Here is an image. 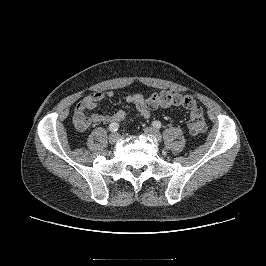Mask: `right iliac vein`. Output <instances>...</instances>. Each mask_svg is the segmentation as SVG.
<instances>
[{"label":"right iliac vein","mask_w":266,"mask_h":266,"mask_svg":"<svg viewBox=\"0 0 266 266\" xmlns=\"http://www.w3.org/2000/svg\"><path fill=\"white\" fill-rule=\"evenodd\" d=\"M111 144H116L119 141V134L118 133H111L108 138Z\"/></svg>","instance_id":"63e3f726"}]
</instances>
